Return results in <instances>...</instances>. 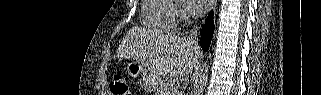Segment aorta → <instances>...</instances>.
I'll list each match as a JSON object with an SVG mask.
<instances>
[{"mask_svg": "<svg viewBox=\"0 0 321 95\" xmlns=\"http://www.w3.org/2000/svg\"><path fill=\"white\" fill-rule=\"evenodd\" d=\"M208 81V67L205 66L200 70L197 75L196 82L193 87L192 95H203V92L206 88V84Z\"/></svg>", "mask_w": 321, "mask_h": 95, "instance_id": "762f6f07", "label": "aorta"}]
</instances>
